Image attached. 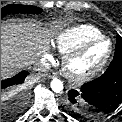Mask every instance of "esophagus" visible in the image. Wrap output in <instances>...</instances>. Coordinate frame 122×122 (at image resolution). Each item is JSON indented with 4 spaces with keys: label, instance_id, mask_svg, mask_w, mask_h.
<instances>
[{
    "label": "esophagus",
    "instance_id": "34e87169",
    "mask_svg": "<svg viewBox=\"0 0 122 122\" xmlns=\"http://www.w3.org/2000/svg\"><path fill=\"white\" fill-rule=\"evenodd\" d=\"M47 78H55L57 76V73L54 71H51L49 73L46 74Z\"/></svg>",
    "mask_w": 122,
    "mask_h": 122
}]
</instances>
